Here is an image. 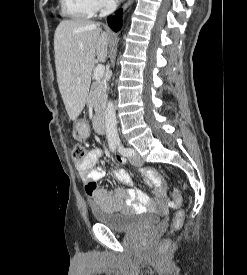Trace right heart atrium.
Segmentation results:
<instances>
[{"mask_svg": "<svg viewBox=\"0 0 247 275\" xmlns=\"http://www.w3.org/2000/svg\"><path fill=\"white\" fill-rule=\"evenodd\" d=\"M96 10H104L109 7L110 0H95Z\"/></svg>", "mask_w": 247, "mask_h": 275, "instance_id": "d8ad5b80", "label": "right heart atrium"}]
</instances>
